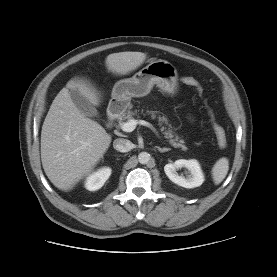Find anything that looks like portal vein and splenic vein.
Instances as JSON below:
<instances>
[{"instance_id": "18ae733b", "label": "portal vein and splenic vein", "mask_w": 277, "mask_h": 277, "mask_svg": "<svg viewBox=\"0 0 277 277\" xmlns=\"http://www.w3.org/2000/svg\"><path fill=\"white\" fill-rule=\"evenodd\" d=\"M138 124H140L142 126H146V127L150 128L154 133H157V131L153 127V125L145 120L130 119L129 121L124 122L122 124L121 129L124 132H132Z\"/></svg>"}]
</instances>
